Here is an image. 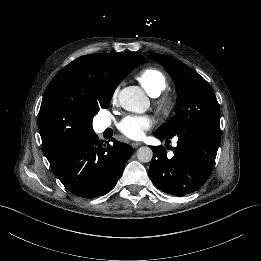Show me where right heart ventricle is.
<instances>
[{
  "mask_svg": "<svg viewBox=\"0 0 261 261\" xmlns=\"http://www.w3.org/2000/svg\"><path fill=\"white\" fill-rule=\"evenodd\" d=\"M138 80L147 94L156 97L165 90L168 84L165 74L155 67L143 70Z\"/></svg>",
  "mask_w": 261,
  "mask_h": 261,
  "instance_id": "obj_1",
  "label": "right heart ventricle"
}]
</instances>
